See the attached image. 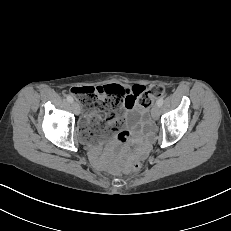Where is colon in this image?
<instances>
[{
  "instance_id": "colon-1",
  "label": "colon",
  "mask_w": 231,
  "mask_h": 231,
  "mask_svg": "<svg viewBox=\"0 0 231 231\" xmlns=\"http://www.w3.org/2000/svg\"><path fill=\"white\" fill-rule=\"evenodd\" d=\"M132 90L134 95L130 96L126 88L117 84H109L98 87H73L71 93L87 112L99 109L103 110L106 115L125 105L126 100L128 106H132L138 100L143 108L149 109L154 98L164 93V87L158 84L152 85L148 89L145 86L136 85ZM104 118L96 120L95 123H100ZM109 123L111 133H117L118 140L125 141L128 138V132L122 129L124 125L122 118L113 117ZM141 168L142 165L139 161H135L131 165V170L135 172L140 171Z\"/></svg>"
}]
</instances>
